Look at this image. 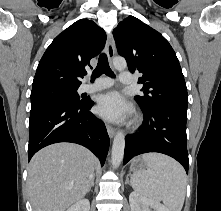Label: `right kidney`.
I'll return each mask as SVG.
<instances>
[{
  "label": "right kidney",
  "mask_w": 221,
  "mask_h": 211,
  "mask_svg": "<svg viewBox=\"0 0 221 211\" xmlns=\"http://www.w3.org/2000/svg\"><path fill=\"white\" fill-rule=\"evenodd\" d=\"M67 211H90V202L88 199H82L73 204Z\"/></svg>",
  "instance_id": "ca27d5eb"
}]
</instances>
